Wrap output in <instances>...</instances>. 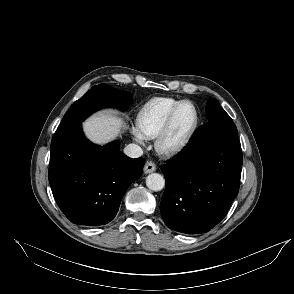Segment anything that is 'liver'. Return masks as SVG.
I'll return each mask as SVG.
<instances>
[{
    "instance_id": "6515ba94",
    "label": "liver",
    "mask_w": 294,
    "mask_h": 294,
    "mask_svg": "<svg viewBox=\"0 0 294 294\" xmlns=\"http://www.w3.org/2000/svg\"><path fill=\"white\" fill-rule=\"evenodd\" d=\"M123 120L109 112L93 115L83 123L86 136L92 142L104 144L119 135Z\"/></svg>"
}]
</instances>
